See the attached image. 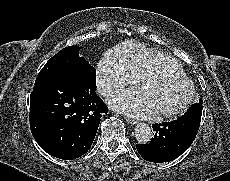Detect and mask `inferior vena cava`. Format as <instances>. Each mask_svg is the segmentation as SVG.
I'll use <instances>...</instances> for the list:
<instances>
[{
	"mask_svg": "<svg viewBox=\"0 0 230 181\" xmlns=\"http://www.w3.org/2000/svg\"><path fill=\"white\" fill-rule=\"evenodd\" d=\"M97 91H98L99 94L104 96L110 91V87H109L108 84L100 82L98 84Z\"/></svg>",
	"mask_w": 230,
	"mask_h": 181,
	"instance_id": "obj_1",
	"label": "inferior vena cava"
}]
</instances>
